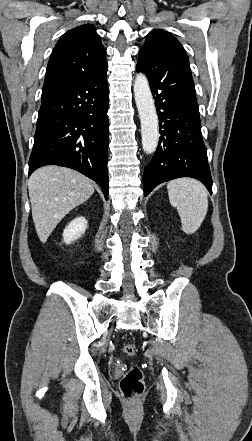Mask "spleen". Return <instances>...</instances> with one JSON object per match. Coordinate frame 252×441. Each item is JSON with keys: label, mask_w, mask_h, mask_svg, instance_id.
Segmentation results:
<instances>
[{"label": "spleen", "mask_w": 252, "mask_h": 441, "mask_svg": "<svg viewBox=\"0 0 252 441\" xmlns=\"http://www.w3.org/2000/svg\"><path fill=\"white\" fill-rule=\"evenodd\" d=\"M167 189L170 203L180 216L182 230L186 234L195 233L208 211L207 189L191 178L170 181Z\"/></svg>", "instance_id": "obj_1"}]
</instances>
